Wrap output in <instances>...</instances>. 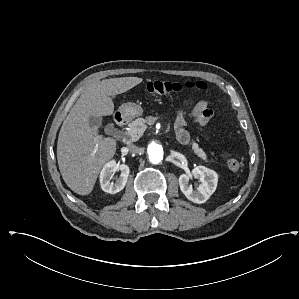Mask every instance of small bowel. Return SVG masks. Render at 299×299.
<instances>
[{"label":"small bowel","instance_id":"c3829d8e","mask_svg":"<svg viewBox=\"0 0 299 299\" xmlns=\"http://www.w3.org/2000/svg\"><path fill=\"white\" fill-rule=\"evenodd\" d=\"M190 114L195 122L201 126L206 125L213 117L211 104L207 100H200L195 103H189ZM186 119L182 111H178L175 120V133L178 141L182 144L189 142V134L185 129Z\"/></svg>","mask_w":299,"mask_h":299}]
</instances>
